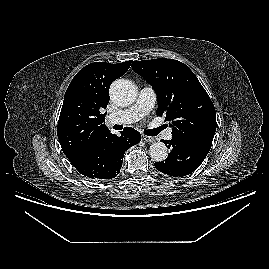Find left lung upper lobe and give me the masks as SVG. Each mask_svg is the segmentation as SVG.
I'll use <instances>...</instances> for the list:
<instances>
[{
    "label": "left lung upper lobe",
    "instance_id": "1",
    "mask_svg": "<svg viewBox=\"0 0 269 269\" xmlns=\"http://www.w3.org/2000/svg\"><path fill=\"white\" fill-rule=\"evenodd\" d=\"M133 70L149 82L157 93V115H166L172 138L181 141L212 142L216 112L195 74L173 59L134 61Z\"/></svg>",
    "mask_w": 269,
    "mask_h": 269
}]
</instances>
